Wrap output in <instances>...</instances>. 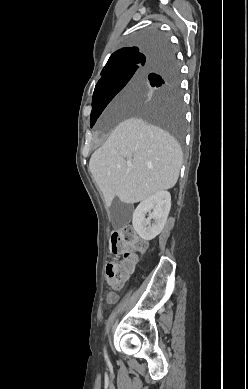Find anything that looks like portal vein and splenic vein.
I'll return each instance as SVG.
<instances>
[{
    "label": "portal vein and splenic vein",
    "instance_id": "18ae733b",
    "mask_svg": "<svg viewBox=\"0 0 248 389\" xmlns=\"http://www.w3.org/2000/svg\"><path fill=\"white\" fill-rule=\"evenodd\" d=\"M127 165H128V167H131V166H132V164H131V163H128Z\"/></svg>",
    "mask_w": 248,
    "mask_h": 389
}]
</instances>
